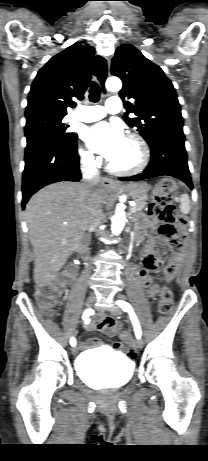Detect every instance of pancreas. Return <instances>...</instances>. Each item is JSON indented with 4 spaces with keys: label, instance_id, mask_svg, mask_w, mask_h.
<instances>
[{
    "label": "pancreas",
    "instance_id": "1",
    "mask_svg": "<svg viewBox=\"0 0 208 461\" xmlns=\"http://www.w3.org/2000/svg\"><path fill=\"white\" fill-rule=\"evenodd\" d=\"M146 200H147V196L136 199L135 200L136 206L134 207L133 211L136 212V211H141L142 209H144L147 205Z\"/></svg>",
    "mask_w": 208,
    "mask_h": 461
}]
</instances>
